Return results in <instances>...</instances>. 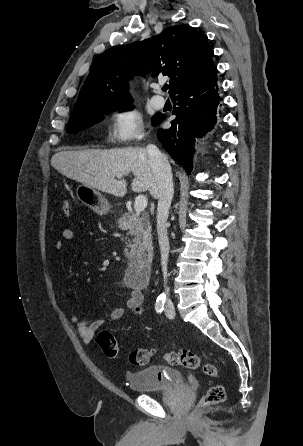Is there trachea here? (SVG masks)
I'll return each instance as SVG.
<instances>
[{
	"instance_id": "obj_1",
	"label": "trachea",
	"mask_w": 303,
	"mask_h": 446,
	"mask_svg": "<svg viewBox=\"0 0 303 446\" xmlns=\"http://www.w3.org/2000/svg\"><path fill=\"white\" fill-rule=\"evenodd\" d=\"M167 89H168V86H167V85H165V86L162 88L163 91H167Z\"/></svg>"
}]
</instances>
